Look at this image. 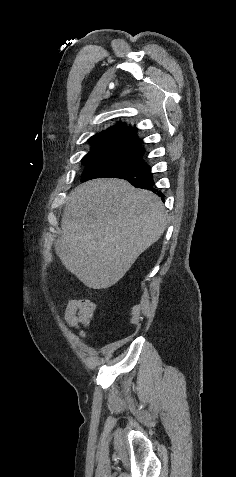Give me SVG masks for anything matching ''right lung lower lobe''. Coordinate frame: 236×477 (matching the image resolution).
Masks as SVG:
<instances>
[{
  "label": "right lung lower lobe",
  "instance_id": "98d812e1",
  "mask_svg": "<svg viewBox=\"0 0 236 477\" xmlns=\"http://www.w3.org/2000/svg\"><path fill=\"white\" fill-rule=\"evenodd\" d=\"M106 177L125 179L137 188L155 191L153 188L154 182L152 180L151 168L144 161L123 168ZM158 193L160 196H163L160 191H158Z\"/></svg>",
  "mask_w": 236,
  "mask_h": 477
}]
</instances>
